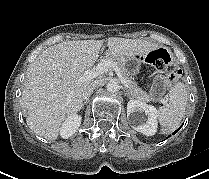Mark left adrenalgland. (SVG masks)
Listing matches in <instances>:
<instances>
[{
    "label": "left adrenal gland",
    "mask_w": 209,
    "mask_h": 179,
    "mask_svg": "<svg viewBox=\"0 0 209 179\" xmlns=\"http://www.w3.org/2000/svg\"><path fill=\"white\" fill-rule=\"evenodd\" d=\"M125 96H127V97L130 98V99H132V97L130 96L128 90L126 91Z\"/></svg>",
    "instance_id": "left-adrenal-gland-1"
}]
</instances>
